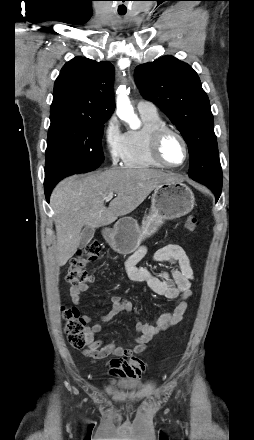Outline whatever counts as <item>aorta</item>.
Returning a JSON list of instances; mask_svg holds the SVG:
<instances>
[{"instance_id": "1", "label": "aorta", "mask_w": 254, "mask_h": 440, "mask_svg": "<svg viewBox=\"0 0 254 440\" xmlns=\"http://www.w3.org/2000/svg\"><path fill=\"white\" fill-rule=\"evenodd\" d=\"M117 115L127 123H129L132 129L139 127V120L134 114L133 107L130 104V100L125 93H120L116 100Z\"/></svg>"}]
</instances>
